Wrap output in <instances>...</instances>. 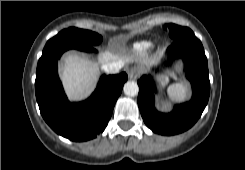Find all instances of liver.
Listing matches in <instances>:
<instances>
[{"mask_svg": "<svg viewBox=\"0 0 245 170\" xmlns=\"http://www.w3.org/2000/svg\"><path fill=\"white\" fill-rule=\"evenodd\" d=\"M160 56L149 59H142L141 64L153 66L158 63ZM129 59H120L118 55L110 51H105L98 57V63L107 65L117 62L121 66ZM98 66L90 58L70 53L63 58L60 78L62 80L66 94L71 100L86 98L94 89L97 81Z\"/></svg>", "mask_w": 245, "mask_h": 170, "instance_id": "6515ba94", "label": "liver"}]
</instances>
